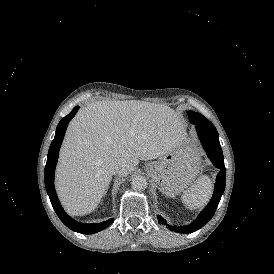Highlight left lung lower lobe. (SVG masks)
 I'll return each instance as SVG.
<instances>
[{
	"instance_id": "obj_1",
	"label": "left lung lower lobe",
	"mask_w": 274,
	"mask_h": 274,
	"mask_svg": "<svg viewBox=\"0 0 274 274\" xmlns=\"http://www.w3.org/2000/svg\"><path fill=\"white\" fill-rule=\"evenodd\" d=\"M188 117L190 122L196 126L198 135L203 143L208 157L214 166L220 169V172L217 175L215 189L211 201L193 223L183 227H176L168 225L161 216L157 217L161 224L167 225L171 231L178 233L194 232L203 227L213 217L224 192L226 183V170L223 161V153L222 149L220 148L218 132L215 126L203 115L193 116L188 113Z\"/></svg>"
}]
</instances>
